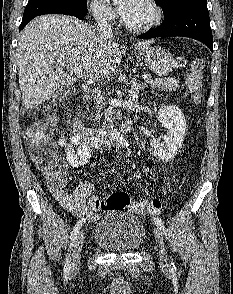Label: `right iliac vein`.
Here are the masks:
<instances>
[{
  "label": "right iliac vein",
  "instance_id": "right-iliac-vein-1",
  "mask_svg": "<svg viewBox=\"0 0 233 294\" xmlns=\"http://www.w3.org/2000/svg\"><path fill=\"white\" fill-rule=\"evenodd\" d=\"M84 243V233L81 231L74 243L72 258H71V268L72 270H77L80 266L81 261V250Z\"/></svg>",
  "mask_w": 233,
  "mask_h": 294
}]
</instances>
